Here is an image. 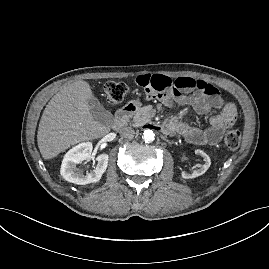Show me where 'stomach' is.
Masks as SVG:
<instances>
[{
  "mask_svg": "<svg viewBox=\"0 0 269 269\" xmlns=\"http://www.w3.org/2000/svg\"><path fill=\"white\" fill-rule=\"evenodd\" d=\"M132 105L135 106L136 108H138L140 106V103L138 100H133L131 101Z\"/></svg>",
  "mask_w": 269,
  "mask_h": 269,
  "instance_id": "0dacf381",
  "label": "stomach"
}]
</instances>
